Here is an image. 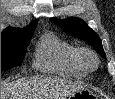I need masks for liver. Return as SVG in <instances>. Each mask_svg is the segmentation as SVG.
<instances>
[{
	"label": "liver",
	"mask_w": 115,
	"mask_h": 99,
	"mask_svg": "<svg viewBox=\"0 0 115 99\" xmlns=\"http://www.w3.org/2000/svg\"><path fill=\"white\" fill-rule=\"evenodd\" d=\"M80 89L82 85L61 78H20L1 82V99H65Z\"/></svg>",
	"instance_id": "obj_1"
}]
</instances>
